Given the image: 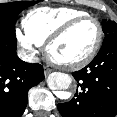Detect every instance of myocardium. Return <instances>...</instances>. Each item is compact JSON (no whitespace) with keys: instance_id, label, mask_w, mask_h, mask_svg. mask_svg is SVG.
<instances>
[{"instance_id":"myocardium-1","label":"myocardium","mask_w":117,"mask_h":117,"mask_svg":"<svg viewBox=\"0 0 117 117\" xmlns=\"http://www.w3.org/2000/svg\"><path fill=\"white\" fill-rule=\"evenodd\" d=\"M84 21H93L96 24L97 30H98L96 42H95L92 50L90 51V53L87 56H85L84 58H82L78 61H74V62H60V61H57L56 59H54L51 56L52 46L56 42H58L59 40L64 38L74 27H76L78 24H80ZM103 37H104L103 27H102L101 22L97 18L90 16V15L74 18V19L68 21L67 23H65L58 30H56L47 39V41L45 43L46 57L52 65H54L60 69L67 70V71L81 69V68L87 66L88 64H90L95 59V57L97 56V54L102 46Z\"/></svg>"}]
</instances>
